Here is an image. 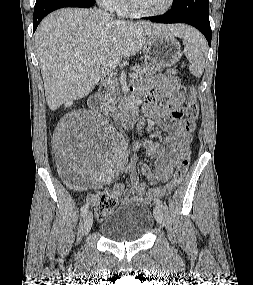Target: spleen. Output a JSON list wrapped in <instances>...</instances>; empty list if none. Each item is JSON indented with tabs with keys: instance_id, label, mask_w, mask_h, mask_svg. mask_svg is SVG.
I'll list each match as a JSON object with an SVG mask.
<instances>
[{
	"instance_id": "1",
	"label": "spleen",
	"mask_w": 253,
	"mask_h": 285,
	"mask_svg": "<svg viewBox=\"0 0 253 285\" xmlns=\"http://www.w3.org/2000/svg\"><path fill=\"white\" fill-rule=\"evenodd\" d=\"M184 54L189 60V70L195 77L200 78L205 68L204 51L207 43L204 37L196 30L190 28L182 36Z\"/></svg>"
}]
</instances>
